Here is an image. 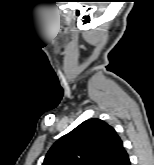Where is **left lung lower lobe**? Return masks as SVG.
Segmentation results:
<instances>
[{
	"label": "left lung lower lobe",
	"instance_id": "0a47b994",
	"mask_svg": "<svg viewBox=\"0 0 154 165\" xmlns=\"http://www.w3.org/2000/svg\"><path fill=\"white\" fill-rule=\"evenodd\" d=\"M117 165H131L130 164L129 157H128V154L126 153V151L124 150V148L121 151L120 159H119Z\"/></svg>",
	"mask_w": 154,
	"mask_h": 165
}]
</instances>
